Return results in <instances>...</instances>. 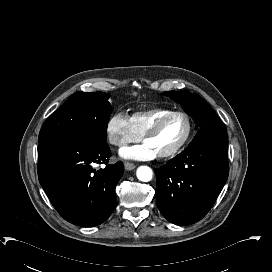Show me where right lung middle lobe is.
Masks as SVG:
<instances>
[{
  "label": "right lung middle lobe",
  "instance_id": "right-lung-middle-lobe-1",
  "mask_svg": "<svg viewBox=\"0 0 272 272\" xmlns=\"http://www.w3.org/2000/svg\"><path fill=\"white\" fill-rule=\"evenodd\" d=\"M109 96L103 92H76L44 123L39 142L54 137L78 136L100 141L107 139L111 114Z\"/></svg>",
  "mask_w": 272,
  "mask_h": 272
}]
</instances>
